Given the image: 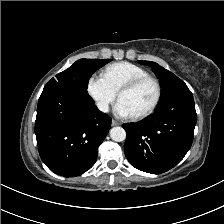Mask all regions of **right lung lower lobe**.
<instances>
[{"label": "right lung lower lobe", "instance_id": "right-lung-lower-lobe-1", "mask_svg": "<svg viewBox=\"0 0 224 224\" xmlns=\"http://www.w3.org/2000/svg\"><path fill=\"white\" fill-rule=\"evenodd\" d=\"M110 127L111 118L89 95L65 86L44 87L35 134L40 157L52 172L74 177L89 170Z\"/></svg>", "mask_w": 224, "mask_h": 224}]
</instances>
